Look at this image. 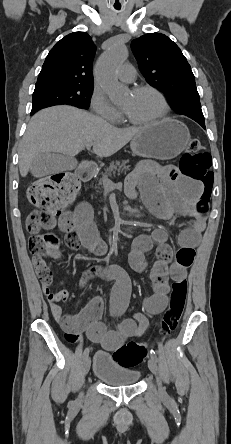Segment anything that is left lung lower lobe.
Here are the masks:
<instances>
[{
    "instance_id": "0a47b994",
    "label": "left lung lower lobe",
    "mask_w": 231,
    "mask_h": 444,
    "mask_svg": "<svg viewBox=\"0 0 231 444\" xmlns=\"http://www.w3.org/2000/svg\"><path fill=\"white\" fill-rule=\"evenodd\" d=\"M195 121H196L197 123H199V124L205 129V123H204V120L195 119Z\"/></svg>"
}]
</instances>
